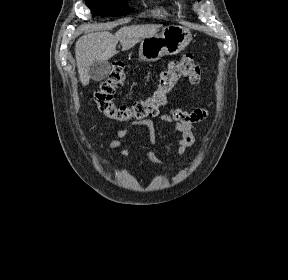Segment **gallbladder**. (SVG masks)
Returning <instances> with one entry per match:
<instances>
[{"label":"gallbladder","instance_id":"obj_1","mask_svg":"<svg viewBox=\"0 0 288 280\" xmlns=\"http://www.w3.org/2000/svg\"><path fill=\"white\" fill-rule=\"evenodd\" d=\"M89 76L95 81H102L111 73V65L108 61H94L89 67Z\"/></svg>","mask_w":288,"mask_h":280}]
</instances>
